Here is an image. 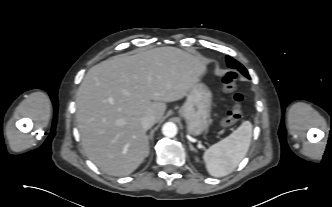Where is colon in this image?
I'll list each match as a JSON object with an SVG mask.
<instances>
[{
    "mask_svg": "<svg viewBox=\"0 0 332 207\" xmlns=\"http://www.w3.org/2000/svg\"><path fill=\"white\" fill-rule=\"evenodd\" d=\"M237 81L238 75L235 71L227 72L222 79L223 88L225 91L231 93L233 101L232 109L228 112L226 117L220 120L222 127H229L239 122L242 118L243 95L236 92Z\"/></svg>",
    "mask_w": 332,
    "mask_h": 207,
    "instance_id": "colon-1",
    "label": "colon"
}]
</instances>
